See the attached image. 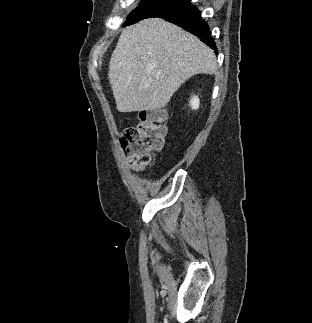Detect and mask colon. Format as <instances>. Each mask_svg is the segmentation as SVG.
Returning <instances> with one entry per match:
<instances>
[{
	"label": "colon",
	"mask_w": 312,
	"mask_h": 323,
	"mask_svg": "<svg viewBox=\"0 0 312 323\" xmlns=\"http://www.w3.org/2000/svg\"><path fill=\"white\" fill-rule=\"evenodd\" d=\"M159 114L149 115L140 121L135 127H128L124 132V139L120 141L121 156L126 158L132 151L131 161L126 162L127 168H135L136 172H141L142 168H147L152 161L153 153L162 148L166 130L159 121Z\"/></svg>",
	"instance_id": "obj_1"
}]
</instances>
